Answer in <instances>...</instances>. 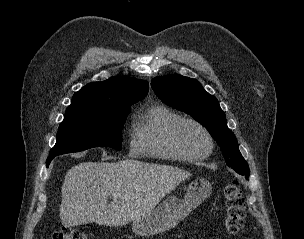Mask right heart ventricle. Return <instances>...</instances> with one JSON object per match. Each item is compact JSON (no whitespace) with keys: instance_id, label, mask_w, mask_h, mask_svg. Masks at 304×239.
<instances>
[{"instance_id":"1","label":"right heart ventricle","mask_w":304,"mask_h":239,"mask_svg":"<svg viewBox=\"0 0 304 239\" xmlns=\"http://www.w3.org/2000/svg\"><path fill=\"white\" fill-rule=\"evenodd\" d=\"M182 117L163 105H153L135 122L138 153L153 159L184 160L170 141L172 126Z\"/></svg>"}]
</instances>
